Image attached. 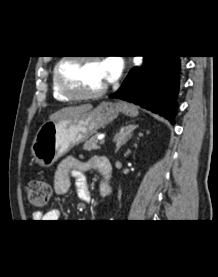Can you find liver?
Returning a JSON list of instances; mask_svg holds the SVG:
<instances>
[{
    "label": "liver",
    "instance_id": "1",
    "mask_svg": "<svg viewBox=\"0 0 218 277\" xmlns=\"http://www.w3.org/2000/svg\"><path fill=\"white\" fill-rule=\"evenodd\" d=\"M92 109L91 104H85L80 106L66 107L52 114L49 119L50 121L71 118L82 113H85Z\"/></svg>",
    "mask_w": 218,
    "mask_h": 277
}]
</instances>
